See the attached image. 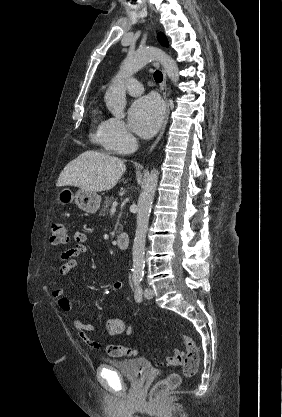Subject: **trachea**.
<instances>
[{
    "label": "trachea",
    "instance_id": "trachea-1",
    "mask_svg": "<svg viewBox=\"0 0 282 417\" xmlns=\"http://www.w3.org/2000/svg\"><path fill=\"white\" fill-rule=\"evenodd\" d=\"M154 80H155L157 83L162 82V80H163V75H162V73H161L159 70H156V72L154 73Z\"/></svg>",
    "mask_w": 282,
    "mask_h": 417
}]
</instances>
